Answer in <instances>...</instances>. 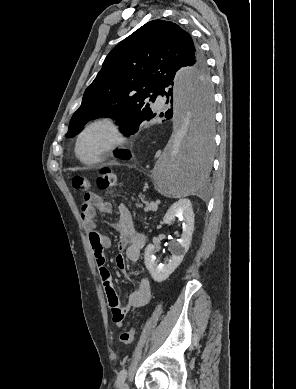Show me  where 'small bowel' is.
<instances>
[{
    "label": "small bowel",
    "mask_w": 296,
    "mask_h": 389,
    "mask_svg": "<svg viewBox=\"0 0 296 389\" xmlns=\"http://www.w3.org/2000/svg\"><path fill=\"white\" fill-rule=\"evenodd\" d=\"M112 206L95 193L85 194L81 205V221L88 235L89 243L94 255L99 275L108 300V305L112 313V319L116 312H120L122 320L114 322L121 326L125 315L130 308H140L148 304L151 299V285L149 279L143 274L138 276V286L132 290L127 298L125 306H121L110 271L106 267L105 250L111 246L108 236L96 230L95 219L98 213H109ZM118 220L114 224L119 233L118 249L123 253L116 256L115 262L118 269L125 271L126 261L137 262L140 258L141 250L146 244L143 234L137 231L134 226L132 216L128 208L121 204L118 207Z\"/></svg>",
    "instance_id": "small-bowel-1"
}]
</instances>
